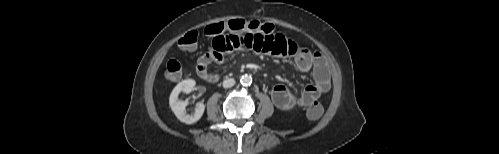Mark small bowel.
I'll return each instance as SVG.
<instances>
[{"label":"small bowel","mask_w":499,"mask_h":154,"mask_svg":"<svg viewBox=\"0 0 499 154\" xmlns=\"http://www.w3.org/2000/svg\"><path fill=\"white\" fill-rule=\"evenodd\" d=\"M252 50L274 57H289L301 72H312L314 82L295 95L284 85L271 90L274 105L284 111L295 107H307L330 89V72L324 56L297 44L281 33L226 32L213 37L209 50L196 62V71L206 81H216L218 76L209 71L211 64H220L225 55L237 50Z\"/></svg>","instance_id":"small-bowel-1"}]
</instances>
